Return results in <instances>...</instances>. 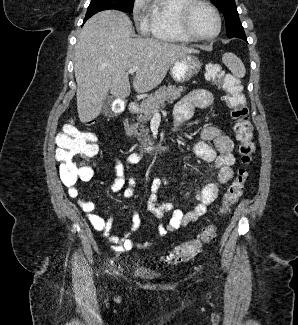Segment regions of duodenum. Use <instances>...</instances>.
<instances>
[{
	"label": "duodenum",
	"instance_id": "obj_1",
	"mask_svg": "<svg viewBox=\"0 0 298 325\" xmlns=\"http://www.w3.org/2000/svg\"><path fill=\"white\" fill-rule=\"evenodd\" d=\"M128 111L131 115H134L138 112V104L136 102H130L128 106Z\"/></svg>",
	"mask_w": 298,
	"mask_h": 325
}]
</instances>
